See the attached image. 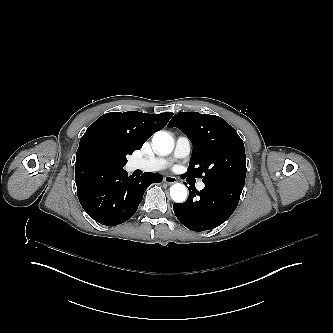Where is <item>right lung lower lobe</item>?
Returning a JSON list of instances; mask_svg holds the SVG:
<instances>
[{
	"label": "right lung lower lobe",
	"mask_w": 333,
	"mask_h": 333,
	"mask_svg": "<svg viewBox=\"0 0 333 333\" xmlns=\"http://www.w3.org/2000/svg\"><path fill=\"white\" fill-rule=\"evenodd\" d=\"M162 175L128 176L123 168H108L93 161L75 163V181L80 204L96 222L116 226L131 218L146 188L161 182Z\"/></svg>",
	"instance_id": "1"
}]
</instances>
